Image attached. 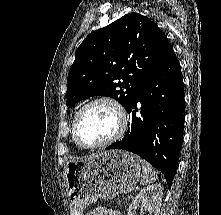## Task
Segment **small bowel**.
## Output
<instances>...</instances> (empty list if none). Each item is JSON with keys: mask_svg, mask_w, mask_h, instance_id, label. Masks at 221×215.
<instances>
[{"mask_svg": "<svg viewBox=\"0 0 221 215\" xmlns=\"http://www.w3.org/2000/svg\"><path fill=\"white\" fill-rule=\"evenodd\" d=\"M87 215H122L121 212L112 208L99 207Z\"/></svg>", "mask_w": 221, "mask_h": 215, "instance_id": "1", "label": "small bowel"}]
</instances>
